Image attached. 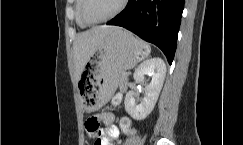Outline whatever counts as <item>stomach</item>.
I'll use <instances>...</instances> for the list:
<instances>
[{"mask_svg":"<svg viewBox=\"0 0 243 145\" xmlns=\"http://www.w3.org/2000/svg\"><path fill=\"white\" fill-rule=\"evenodd\" d=\"M150 47L130 32L118 29L100 44L93 59L89 60L79 79L78 102H84L86 113L104 106L119 84V76L148 57Z\"/></svg>","mask_w":243,"mask_h":145,"instance_id":"stomach-1","label":"stomach"}]
</instances>
